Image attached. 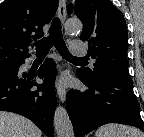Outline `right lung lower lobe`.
<instances>
[{
  "label": "right lung lower lobe",
  "mask_w": 144,
  "mask_h": 137,
  "mask_svg": "<svg viewBox=\"0 0 144 137\" xmlns=\"http://www.w3.org/2000/svg\"><path fill=\"white\" fill-rule=\"evenodd\" d=\"M0 76V111L21 114L33 121L48 137H53V113L56 107L55 75L56 68L52 59L46 60L38 72ZM35 77L43 79L38 84ZM37 88V90L35 89Z\"/></svg>",
  "instance_id": "98d812e1"
}]
</instances>
